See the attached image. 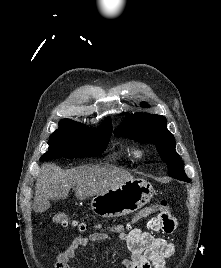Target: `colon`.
Instances as JSON below:
<instances>
[{
	"label": "colon",
	"instance_id": "5ec220e1",
	"mask_svg": "<svg viewBox=\"0 0 221 268\" xmlns=\"http://www.w3.org/2000/svg\"><path fill=\"white\" fill-rule=\"evenodd\" d=\"M152 214H158V215L170 214V206L168 201L162 200L158 204L150 205L141 209L132 217V219L127 224H125L124 226H116L115 228H122L125 230L131 229L133 228L134 225H136L143 219H146ZM53 223L61 225L63 227L68 226L70 223L72 226L78 227L80 230H85L88 226L85 222H79L75 219H71L67 213L62 211H59L54 214Z\"/></svg>",
	"mask_w": 221,
	"mask_h": 268
}]
</instances>
